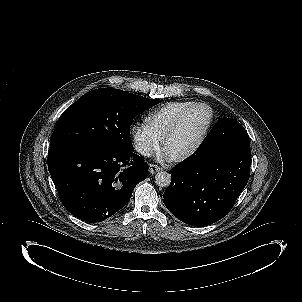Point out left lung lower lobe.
<instances>
[{"label": "left lung lower lobe", "instance_id": "left-lung-lower-lobe-1", "mask_svg": "<svg viewBox=\"0 0 302 302\" xmlns=\"http://www.w3.org/2000/svg\"><path fill=\"white\" fill-rule=\"evenodd\" d=\"M218 147L198 152L172 168L165 206L178 219L195 227L210 225L229 213L250 175V148L223 155Z\"/></svg>", "mask_w": 302, "mask_h": 302}]
</instances>
